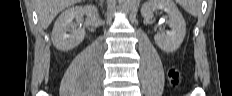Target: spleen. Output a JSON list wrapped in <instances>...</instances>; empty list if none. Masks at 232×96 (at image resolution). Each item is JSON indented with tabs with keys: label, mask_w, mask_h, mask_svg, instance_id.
Returning a JSON list of instances; mask_svg holds the SVG:
<instances>
[{
	"label": "spleen",
	"mask_w": 232,
	"mask_h": 96,
	"mask_svg": "<svg viewBox=\"0 0 232 96\" xmlns=\"http://www.w3.org/2000/svg\"><path fill=\"white\" fill-rule=\"evenodd\" d=\"M176 2L183 7V9L194 17L201 13L200 0H176Z\"/></svg>",
	"instance_id": "3e777b00"
}]
</instances>
